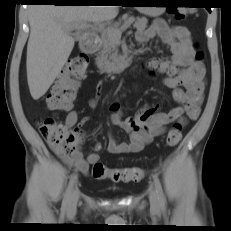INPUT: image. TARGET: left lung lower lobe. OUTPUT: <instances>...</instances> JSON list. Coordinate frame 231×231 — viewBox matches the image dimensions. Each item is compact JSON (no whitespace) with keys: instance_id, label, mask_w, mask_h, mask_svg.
<instances>
[{"instance_id":"obj_1","label":"left lung lower lobe","mask_w":231,"mask_h":231,"mask_svg":"<svg viewBox=\"0 0 231 231\" xmlns=\"http://www.w3.org/2000/svg\"><path fill=\"white\" fill-rule=\"evenodd\" d=\"M206 9H207L209 12H211V10H210V8H209V7H207Z\"/></svg>"}]
</instances>
